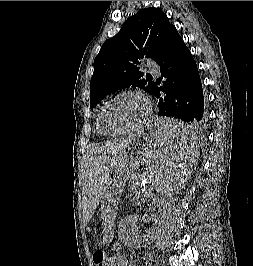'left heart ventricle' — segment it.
Wrapping results in <instances>:
<instances>
[{"mask_svg": "<svg viewBox=\"0 0 253 266\" xmlns=\"http://www.w3.org/2000/svg\"><path fill=\"white\" fill-rule=\"evenodd\" d=\"M145 112L144 101L136 96H123L103 111L101 125L105 132L113 133L124 130L136 123Z\"/></svg>", "mask_w": 253, "mask_h": 266, "instance_id": "1", "label": "left heart ventricle"}]
</instances>
